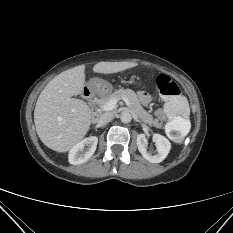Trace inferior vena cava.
<instances>
[{
  "label": "inferior vena cava",
  "mask_w": 233,
  "mask_h": 233,
  "mask_svg": "<svg viewBox=\"0 0 233 233\" xmlns=\"http://www.w3.org/2000/svg\"><path fill=\"white\" fill-rule=\"evenodd\" d=\"M115 117L114 112H104L99 116V124L104 125L110 121H112Z\"/></svg>",
  "instance_id": "obj_1"
}]
</instances>
